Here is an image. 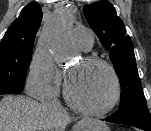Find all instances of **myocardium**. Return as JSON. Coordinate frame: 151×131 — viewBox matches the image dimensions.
Instances as JSON below:
<instances>
[{
	"mask_svg": "<svg viewBox=\"0 0 151 131\" xmlns=\"http://www.w3.org/2000/svg\"><path fill=\"white\" fill-rule=\"evenodd\" d=\"M83 63L86 65L98 64L107 69L109 72L112 83H113V93L110 100L102 107L93 108L86 106L79 101H77L70 92L68 80L64 83V97L68 104L74 108L75 110L93 116H102L111 112L119 103L122 94L121 82L119 76L112 66L107 60L97 57V56H86L83 60Z\"/></svg>",
	"mask_w": 151,
	"mask_h": 131,
	"instance_id": "f54148a6",
	"label": "myocardium"
}]
</instances>
